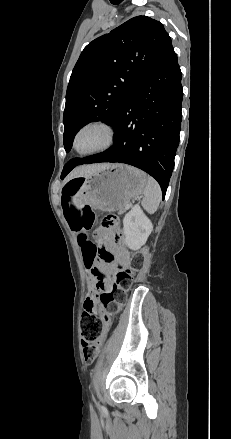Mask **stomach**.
I'll return each mask as SVG.
<instances>
[{"instance_id": "0dacf381", "label": "stomach", "mask_w": 231, "mask_h": 439, "mask_svg": "<svg viewBox=\"0 0 231 439\" xmlns=\"http://www.w3.org/2000/svg\"><path fill=\"white\" fill-rule=\"evenodd\" d=\"M81 185L72 196L79 208L90 205L102 211L123 209L131 199L139 196L147 185V175L124 164H109L87 176L78 177Z\"/></svg>"}]
</instances>
